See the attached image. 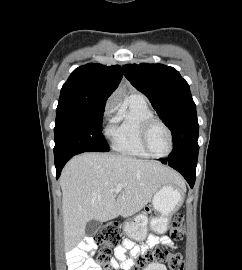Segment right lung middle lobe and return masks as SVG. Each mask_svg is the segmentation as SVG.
Listing matches in <instances>:
<instances>
[{"label": "right lung middle lobe", "instance_id": "dd1d6c3e", "mask_svg": "<svg viewBox=\"0 0 242 270\" xmlns=\"http://www.w3.org/2000/svg\"><path fill=\"white\" fill-rule=\"evenodd\" d=\"M104 108L105 106L56 109L55 161L85 151H109L101 130Z\"/></svg>", "mask_w": 242, "mask_h": 270}]
</instances>
